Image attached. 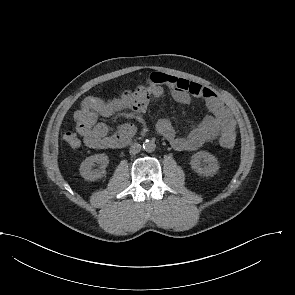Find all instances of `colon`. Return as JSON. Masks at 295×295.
<instances>
[{
	"label": "colon",
	"instance_id": "obj_1",
	"mask_svg": "<svg viewBox=\"0 0 295 295\" xmlns=\"http://www.w3.org/2000/svg\"><path fill=\"white\" fill-rule=\"evenodd\" d=\"M64 140L72 148H77L80 145V140L77 134L73 130H67L65 132ZM235 140H236L235 127L231 125H227L221 133V137H220L221 145L227 149L232 148L235 144Z\"/></svg>",
	"mask_w": 295,
	"mask_h": 295
}]
</instances>
